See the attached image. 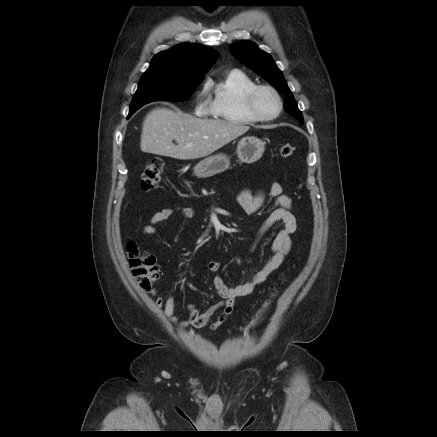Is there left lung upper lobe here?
Listing matches in <instances>:
<instances>
[{
	"label": "left lung upper lobe",
	"instance_id": "obj_1",
	"mask_svg": "<svg viewBox=\"0 0 437 437\" xmlns=\"http://www.w3.org/2000/svg\"><path fill=\"white\" fill-rule=\"evenodd\" d=\"M231 53L242 63L253 69L262 78L268 81L279 92L286 96L284 109L297 118L303 124V116L298 109L297 103L294 100L282 72L276 66L272 57L250 41H242L230 46Z\"/></svg>",
	"mask_w": 437,
	"mask_h": 437
}]
</instances>
